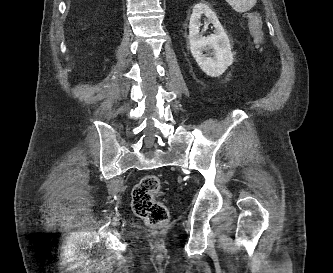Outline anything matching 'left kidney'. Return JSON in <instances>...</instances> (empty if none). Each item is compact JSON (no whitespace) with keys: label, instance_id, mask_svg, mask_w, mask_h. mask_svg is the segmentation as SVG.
<instances>
[{"label":"left kidney","instance_id":"obj_1","mask_svg":"<svg viewBox=\"0 0 333 273\" xmlns=\"http://www.w3.org/2000/svg\"><path fill=\"white\" fill-rule=\"evenodd\" d=\"M205 15L207 23H212L214 34L203 36L200 32V18ZM189 45L192 56L201 70L211 77H219L233 63L230 40L219 22L216 14L206 3H198L193 7L189 22ZM213 49L211 54L204 51Z\"/></svg>","mask_w":333,"mask_h":273}]
</instances>
